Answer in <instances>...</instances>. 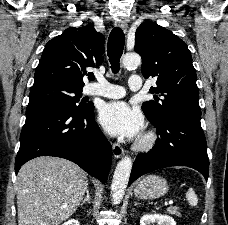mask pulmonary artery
I'll return each mask as SVG.
<instances>
[{
    "mask_svg": "<svg viewBox=\"0 0 228 225\" xmlns=\"http://www.w3.org/2000/svg\"><path fill=\"white\" fill-rule=\"evenodd\" d=\"M131 80H142V75H131ZM141 86H143V81H130L128 90H141ZM84 92L88 95L110 99L121 98L125 95V90L121 86L111 84L105 79H98V82L87 84Z\"/></svg>",
    "mask_w": 228,
    "mask_h": 225,
    "instance_id": "obj_1",
    "label": "pulmonary artery"
}]
</instances>
